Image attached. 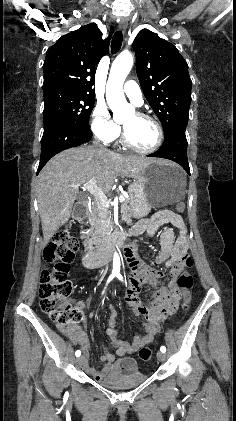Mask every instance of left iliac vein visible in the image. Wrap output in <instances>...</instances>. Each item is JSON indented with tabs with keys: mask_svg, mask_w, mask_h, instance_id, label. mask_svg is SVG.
<instances>
[{
	"mask_svg": "<svg viewBox=\"0 0 236 421\" xmlns=\"http://www.w3.org/2000/svg\"><path fill=\"white\" fill-rule=\"evenodd\" d=\"M156 357H157V359L158 360H160V361H165L166 360V354L165 353H163V352H157V355H156Z\"/></svg>",
	"mask_w": 236,
	"mask_h": 421,
	"instance_id": "left-iliac-vein-1",
	"label": "left iliac vein"
}]
</instances>
